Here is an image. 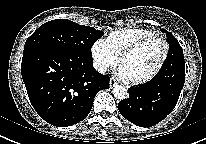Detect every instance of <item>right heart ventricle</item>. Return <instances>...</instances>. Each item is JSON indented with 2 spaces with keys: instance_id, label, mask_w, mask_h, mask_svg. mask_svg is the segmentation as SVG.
<instances>
[{
  "instance_id": "obj_1",
  "label": "right heart ventricle",
  "mask_w": 206,
  "mask_h": 144,
  "mask_svg": "<svg viewBox=\"0 0 206 144\" xmlns=\"http://www.w3.org/2000/svg\"><path fill=\"white\" fill-rule=\"evenodd\" d=\"M155 34L153 31L145 28L130 27L115 30L105 39L113 53L119 57L120 53L131 44Z\"/></svg>"
}]
</instances>
